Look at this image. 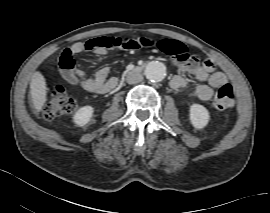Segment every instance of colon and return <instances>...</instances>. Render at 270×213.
I'll use <instances>...</instances> for the list:
<instances>
[{"label":"colon","instance_id":"5ec220e1","mask_svg":"<svg viewBox=\"0 0 270 213\" xmlns=\"http://www.w3.org/2000/svg\"><path fill=\"white\" fill-rule=\"evenodd\" d=\"M138 45L144 47L160 48L161 42L148 37H140L135 40ZM166 53L178 60L181 57L182 46L178 42H168L165 44ZM196 61L199 60L197 55H193ZM207 62V61H206ZM205 62V63H206ZM60 68L70 71L72 70L74 63L69 58H60ZM234 101V90L231 85L225 84L217 91L213 104L217 109H227ZM77 103L75 98L69 93V91L60 86L53 88L50 91V98L44 104L42 108V118L50 121L55 117L70 114L75 111Z\"/></svg>","mask_w":270,"mask_h":213}]
</instances>
